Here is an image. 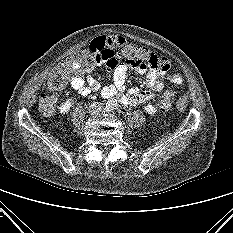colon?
Here are the masks:
<instances>
[{
  "label": "colon",
  "mask_w": 233,
  "mask_h": 233,
  "mask_svg": "<svg viewBox=\"0 0 233 233\" xmlns=\"http://www.w3.org/2000/svg\"><path fill=\"white\" fill-rule=\"evenodd\" d=\"M108 45L110 46V43ZM114 46L121 47L127 63L161 68H167L169 66L168 61L154 57L144 47L126 42ZM104 56L103 51L91 47L74 53L70 58L60 63L50 72L47 80L48 89L51 91L62 90L73 74L92 70L102 61ZM174 99V91L167 90L163 92L159 97V108L162 111L169 110L174 103ZM56 102L57 96L55 94H43L39 100V108L44 114L51 115L55 111Z\"/></svg>",
  "instance_id": "obj_1"
}]
</instances>
